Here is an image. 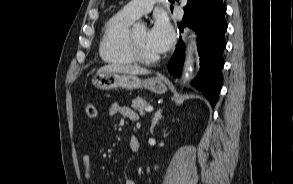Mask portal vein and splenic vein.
<instances>
[{"label":"portal vein and splenic vein","mask_w":293,"mask_h":184,"mask_svg":"<svg viewBox=\"0 0 293 184\" xmlns=\"http://www.w3.org/2000/svg\"><path fill=\"white\" fill-rule=\"evenodd\" d=\"M153 109H154V108H153L152 106H147V107L145 108V111L149 113V112H152Z\"/></svg>","instance_id":"portal-vein-and-splenic-vein-1"}]
</instances>
